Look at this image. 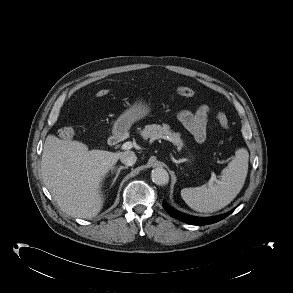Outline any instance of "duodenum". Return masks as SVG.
<instances>
[{
    "mask_svg": "<svg viewBox=\"0 0 293 293\" xmlns=\"http://www.w3.org/2000/svg\"><path fill=\"white\" fill-rule=\"evenodd\" d=\"M126 132L123 130L115 131L108 139V144L110 146H117L126 139Z\"/></svg>",
    "mask_w": 293,
    "mask_h": 293,
    "instance_id": "obj_1",
    "label": "duodenum"
}]
</instances>
